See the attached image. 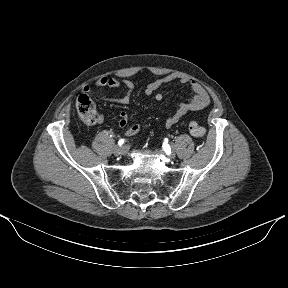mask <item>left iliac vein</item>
Wrapping results in <instances>:
<instances>
[{
  "instance_id": "left-iliac-vein-1",
  "label": "left iliac vein",
  "mask_w": 288,
  "mask_h": 288,
  "mask_svg": "<svg viewBox=\"0 0 288 288\" xmlns=\"http://www.w3.org/2000/svg\"><path fill=\"white\" fill-rule=\"evenodd\" d=\"M171 146H172V152H170V157L173 158L174 157V151H173L174 150V145L172 144Z\"/></svg>"
}]
</instances>
